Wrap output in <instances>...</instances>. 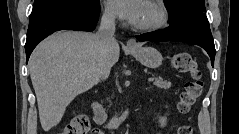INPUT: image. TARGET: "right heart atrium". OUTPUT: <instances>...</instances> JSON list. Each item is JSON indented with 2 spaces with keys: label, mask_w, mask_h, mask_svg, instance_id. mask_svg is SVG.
Instances as JSON below:
<instances>
[{
  "label": "right heart atrium",
  "mask_w": 239,
  "mask_h": 134,
  "mask_svg": "<svg viewBox=\"0 0 239 134\" xmlns=\"http://www.w3.org/2000/svg\"><path fill=\"white\" fill-rule=\"evenodd\" d=\"M104 16L108 21H114L116 19V13L110 3H106Z\"/></svg>",
  "instance_id": "1"
}]
</instances>
